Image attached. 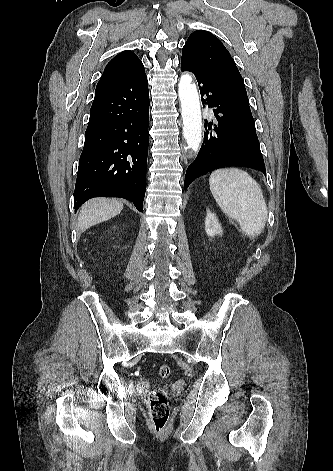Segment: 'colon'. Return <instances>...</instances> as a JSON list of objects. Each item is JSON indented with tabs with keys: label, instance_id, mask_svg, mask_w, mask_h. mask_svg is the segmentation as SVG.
Wrapping results in <instances>:
<instances>
[{
	"label": "colon",
	"instance_id": "5ec220e1",
	"mask_svg": "<svg viewBox=\"0 0 333 471\" xmlns=\"http://www.w3.org/2000/svg\"><path fill=\"white\" fill-rule=\"evenodd\" d=\"M170 374L171 368L169 365L163 364L160 366L158 371L160 378L166 379ZM148 404L153 428L158 433L164 432L170 413L169 401L166 394L162 391H153L149 393Z\"/></svg>",
	"mask_w": 333,
	"mask_h": 471
}]
</instances>
